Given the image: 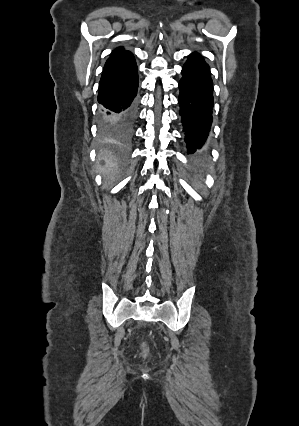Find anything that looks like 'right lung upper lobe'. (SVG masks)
<instances>
[{"label":"right lung upper lobe","mask_w":299,"mask_h":426,"mask_svg":"<svg viewBox=\"0 0 299 426\" xmlns=\"http://www.w3.org/2000/svg\"><path fill=\"white\" fill-rule=\"evenodd\" d=\"M128 52H129V51L124 50V48H123V47H119V48H116V49L112 52L111 57H112V56H116V55H120V54H124V53H128Z\"/></svg>","instance_id":"1"}]
</instances>
